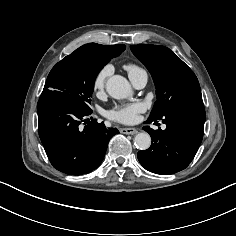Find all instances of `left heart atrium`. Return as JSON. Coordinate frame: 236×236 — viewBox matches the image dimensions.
Wrapping results in <instances>:
<instances>
[{"label": "left heart atrium", "instance_id": "obj_1", "mask_svg": "<svg viewBox=\"0 0 236 236\" xmlns=\"http://www.w3.org/2000/svg\"><path fill=\"white\" fill-rule=\"evenodd\" d=\"M145 110L142 102L119 104L108 111V117L114 121L131 124L138 120L139 114Z\"/></svg>", "mask_w": 236, "mask_h": 236}]
</instances>
